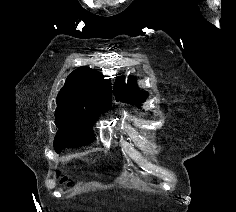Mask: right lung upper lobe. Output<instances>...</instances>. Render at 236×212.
<instances>
[{
	"mask_svg": "<svg viewBox=\"0 0 236 212\" xmlns=\"http://www.w3.org/2000/svg\"><path fill=\"white\" fill-rule=\"evenodd\" d=\"M98 71L82 66L66 79L57 96L58 107L96 109L111 100V82Z\"/></svg>",
	"mask_w": 236,
	"mask_h": 212,
	"instance_id": "cb5924a9",
	"label": "right lung upper lobe"
}]
</instances>
